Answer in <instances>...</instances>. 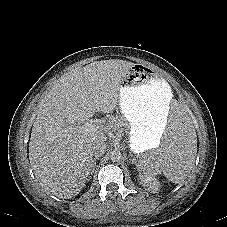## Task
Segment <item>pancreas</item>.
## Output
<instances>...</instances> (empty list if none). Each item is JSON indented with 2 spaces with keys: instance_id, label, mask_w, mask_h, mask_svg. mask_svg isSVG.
Returning a JSON list of instances; mask_svg holds the SVG:
<instances>
[{
  "instance_id": "pancreas-1",
  "label": "pancreas",
  "mask_w": 227,
  "mask_h": 227,
  "mask_svg": "<svg viewBox=\"0 0 227 227\" xmlns=\"http://www.w3.org/2000/svg\"><path fill=\"white\" fill-rule=\"evenodd\" d=\"M128 124L126 122H124V120L122 118H117L115 119V129L118 127H125Z\"/></svg>"
}]
</instances>
